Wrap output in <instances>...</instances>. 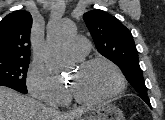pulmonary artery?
Segmentation results:
<instances>
[{
    "mask_svg": "<svg viewBox=\"0 0 165 120\" xmlns=\"http://www.w3.org/2000/svg\"><path fill=\"white\" fill-rule=\"evenodd\" d=\"M88 50H89V44L87 43L86 40L82 38H76L70 41L63 48L65 54L75 58L85 56Z\"/></svg>",
    "mask_w": 165,
    "mask_h": 120,
    "instance_id": "e3ab8cb5",
    "label": "pulmonary artery"
}]
</instances>
